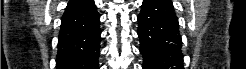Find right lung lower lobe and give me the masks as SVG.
Wrapping results in <instances>:
<instances>
[{"label":"right lung lower lobe","mask_w":246,"mask_h":69,"mask_svg":"<svg viewBox=\"0 0 246 69\" xmlns=\"http://www.w3.org/2000/svg\"><path fill=\"white\" fill-rule=\"evenodd\" d=\"M99 14L93 0H70L61 18L57 69H99Z\"/></svg>","instance_id":"right-lung-lower-lobe-1"}]
</instances>
